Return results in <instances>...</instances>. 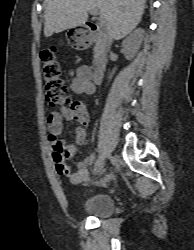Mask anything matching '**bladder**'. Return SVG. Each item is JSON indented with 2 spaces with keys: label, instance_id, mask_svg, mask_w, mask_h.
<instances>
[{
  "label": "bladder",
  "instance_id": "obj_1",
  "mask_svg": "<svg viewBox=\"0 0 194 250\" xmlns=\"http://www.w3.org/2000/svg\"><path fill=\"white\" fill-rule=\"evenodd\" d=\"M114 209V200L107 194L92 195L83 204V212L95 217L110 216Z\"/></svg>",
  "mask_w": 194,
  "mask_h": 250
}]
</instances>
